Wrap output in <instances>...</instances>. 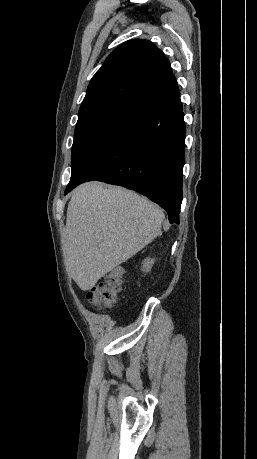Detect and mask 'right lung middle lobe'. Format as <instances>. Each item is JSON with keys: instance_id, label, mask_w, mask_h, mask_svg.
<instances>
[{"instance_id": "1", "label": "right lung middle lobe", "mask_w": 257, "mask_h": 459, "mask_svg": "<svg viewBox=\"0 0 257 459\" xmlns=\"http://www.w3.org/2000/svg\"><path fill=\"white\" fill-rule=\"evenodd\" d=\"M126 107H107L78 117L72 146L71 177L103 150L118 129L135 113Z\"/></svg>"}]
</instances>
